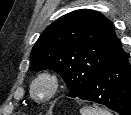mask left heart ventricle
Listing matches in <instances>:
<instances>
[{
  "mask_svg": "<svg viewBox=\"0 0 131 115\" xmlns=\"http://www.w3.org/2000/svg\"><path fill=\"white\" fill-rule=\"evenodd\" d=\"M49 91L47 82L41 81L36 85V94L38 97H45Z\"/></svg>",
  "mask_w": 131,
  "mask_h": 115,
  "instance_id": "1",
  "label": "left heart ventricle"
}]
</instances>
